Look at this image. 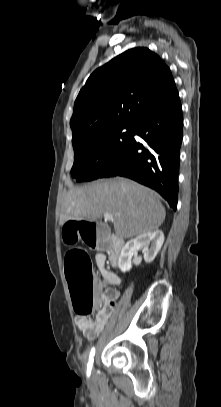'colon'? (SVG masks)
Returning <instances> with one entry per match:
<instances>
[{
    "label": "colon",
    "instance_id": "5ec220e1",
    "mask_svg": "<svg viewBox=\"0 0 221 407\" xmlns=\"http://www.w3.org/2000/svg\"><path fill=\"white\" fill-rule=\"evenodd\" d=\"M60 239H84L85 246L91 249H99L101 255L110 252L109 243L112 241L110 227L107 222H96L89 216H71L64 227L60 230ZM65 274L69 284L75 312L79 316H89L100 304V298L96 281L92 271L90 258L82 249H72L65 259ZM105 301H111L106 294Z\"/></svg>",
    "mask_w": 221,
    "mask_h": 407
}]
</instances>
